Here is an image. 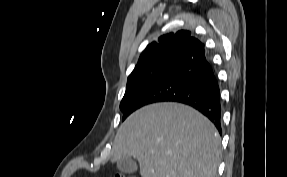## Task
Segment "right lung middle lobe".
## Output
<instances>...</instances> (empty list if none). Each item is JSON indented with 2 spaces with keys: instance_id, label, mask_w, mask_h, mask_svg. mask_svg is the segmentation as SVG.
Instances as JSON below:
<instances>
[{
  "instance_id": "dd1d6c3e",
  "label": "right lung middle lobe",
  "mask_w": 287,
  "mask_h": 177,
  "mask_svg": "<svg viewBox=\"0 0 287 177\" xmlns=\"http://www.w3.org/2000/svg\"><path fill=\"white\" fill-rule=\"evenodd\" d=\"M182 61L179 58H166L153 65L132 72L127 81V89L120 103V109L124 113L127 108L142 94V92L157 78L175 67ZM126 115L123 116V120Z\"/></svg>"
}]
</instances>
